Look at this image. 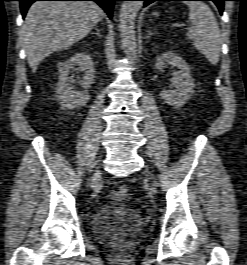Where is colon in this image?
Returning a JSON list of instances; mask_svg holds the SVG:
<instances>
[{
    "instance_id": "1",
    "label": "colon",
    "mask_w": 247,
    "mask_h": 265,
    "mask_svg": "<svg viewBox=\"0 0 247 265\" xmlns=\"http://www.w3.org/2000/svg\"><path fill=\"white\" fill-rule=\"evenodd\" d=\"M118 193L121 195V196H126L129 194V190H128V187L126 185H121L119 186L118 188Z\"/></svg>"
}]
</instances>
